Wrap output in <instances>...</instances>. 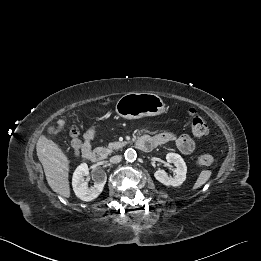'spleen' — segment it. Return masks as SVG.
I'll return each mask as SVG.
<instances>
[{
    "instance_id": "obj_1",
    "label": "spleen",
    "mask_w": 261,
    "mask_h": 261,
    "mask_svg": "<svg viewBox=\"0 0 261 261\" xmlns=\"http://www.w3.org/2000/svg\"><path fill=\"white\" fill-rule=\"evenodd\" d=\"M211 174L212 173L209 170L201 171L192 189L195 190L200 188L202 185H204L209 180Z\"/></svg>"
}]
</instances>
